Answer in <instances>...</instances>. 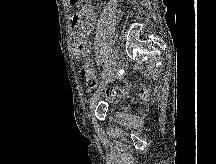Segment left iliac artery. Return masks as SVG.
<instances>
[{
  "instance_id": "44dca946",
  "label": "left iliac artery",
  "mask_w": 216,
  "mask_h": 164,
  "mask_svg": "<svg viewBox=\"0 0 216 164\" xmlns=\"http://www.w3.org/2000/svg\"><path fill=\"white\" fill-rule=\"evenodd\" d=\"M111 69H112V66L108 65L106 69H102V72L99 73V76L103 77L104 74H107V70H111ZM100 77H99V79H100Z\"/></svg>"
}]
</instances>
